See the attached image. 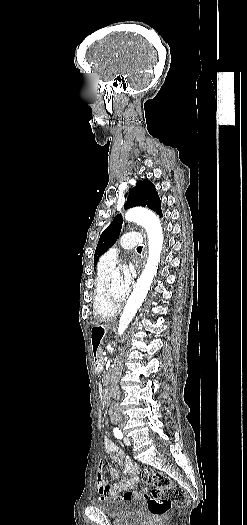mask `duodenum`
<instances>
[{"instance_id": "1", "label": "duodenum", "mask_w": 247, "mask_h": 525, "mask_svg": "<svg viewBox=\"0 0 247 525\" xmlns=\"http://www.w3.org/2000/svg\"><path fill=\"white\" fill-rule=\"evenodd\" d=\"M94 366H95V371L96 372L99 373V372L102 371V364L98 360L95 361ZM98 393H99V395H100V397L102 399H104V400L106 399V395H105V393H104V391H103V389L101 387H99Z\"/></svg>"}]
</instances>
